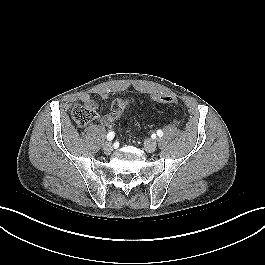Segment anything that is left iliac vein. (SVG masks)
<instances>
[{"label": "left iliac vein", "instance_id": "1", "mask_svg": "<svg viewBox=\"0 0 265 265\" xmlns=\"http://www.w3.org/2000/svg\"><path fill=\"white\" fill-rule=\"evenodd\" d=\"M157 148V144L155 141L153 140H146L144 142V149L149 152V153H153Z\"/></svg>", "mask_w": 265, "mask_h": 265}]
</instances>
